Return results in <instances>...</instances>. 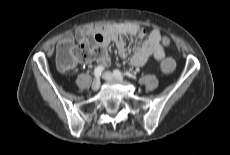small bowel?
Returning a JSON list of instances; mask_svg holds the SVG:
<instances>
[{
    "label": "small bowel",
    "instance_id": "obj_1",
    "mask_svg": "<svg viewBox=\"0 0 230 155\" xmlns=\"http://www.w3.org/2000/svg\"><path fill=\"white\" fill-rule=\"evenodd\" d=\"M126 35L137 36L141 41L131 57V63L136 67L145 65L151 56L156 60H162L166 54L165 49L170 45L169 38L163 36L158 29H153L146 35L144 27L124 23L79 29L74 36H66L60 43H70L76 40L80 44L103 47V55L95 59V62L103 67L110 63V57L106 51L110 43H115L120 56H127V49L123 41Z\"/></svg>",
    "mask_w": 230,
    "mask_h": 155
}]
</instances>
